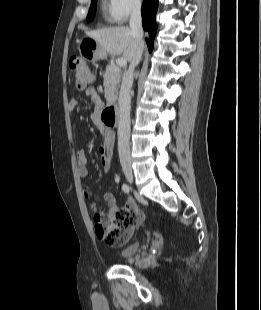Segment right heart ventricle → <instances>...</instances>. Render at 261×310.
Listing matches in <instances>:
<instances>
[{
    "instance_id": "1",
    "label": "right heart ventricle",
    "mask_w": 261,
    "mask_h": 310,
    "mask_svg": "<svg viewBox=\"0 0 261 310\" xmlns=\"http://www.w3.org/2000/svg\"><path fill=\"white\" fill-rule=\"evenodd\" d=\"M101 9H102V12H103V15L104 17L107 19V20H110V15H109V2L107 0H102V5H101Z\"/></svg>"
}]
</instances>
